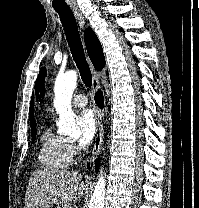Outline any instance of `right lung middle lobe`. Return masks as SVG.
<instances>
[{
    "label": "right lung middle lobe",
    "mask_w": 199,
    "mask_h": 208,
    "mask_svg": "<svg viewBox=\"0 0 199 208\" xmlns=\"http://www.w3.org/2000/svg\"><path fill=\"white\" fill-rule=\"evenodd\" d=\"M31 135L33 139L36 138V129L31 131Z\"/></svg>",
    "instance_id": "1"
}]
</instances>
